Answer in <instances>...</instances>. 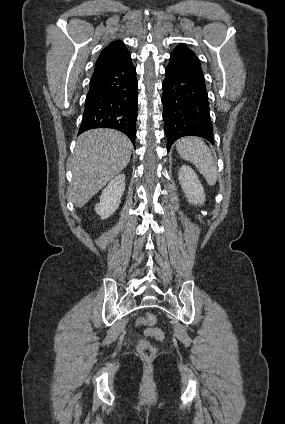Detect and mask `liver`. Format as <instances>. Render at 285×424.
Masks as SVG:
<instances>
[{
	"label": "liver",
	"instance_id": "obj_1",
	"mask_svg": "<svg viewBox=\"0 0 285 424\" xmlns=\"http://www.w3.org/2000/svg\"><path fill=\"white\" fill-rule=\"evenodd\" d=\"M132 147L126 135L113 129H92L78 137L70 187L76 207L84 206L127 166Z\"/></svg>",
	"mask_w": 285,
	"mask_h": 424
}]
</instances>
